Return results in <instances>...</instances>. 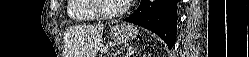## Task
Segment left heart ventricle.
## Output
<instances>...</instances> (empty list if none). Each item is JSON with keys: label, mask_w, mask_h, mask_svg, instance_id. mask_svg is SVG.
I'll return each instance as SVG.
<instances>
[{"label": "left heart ventricle", "mask_w": 249, "mask_h": 57, "mask_svg": "<svg viewBox=\"0 0 249 57\" xmlns=\"http://www.w3.org/2000/svg\"><path fill=\"white\" fill-rule=\"evenodd\" d=\"M121 0H101L102 11L105 13H114L118 11L122 5Z\"/></svg>", "instance_id": "b2bd125f"}]
</instances>
